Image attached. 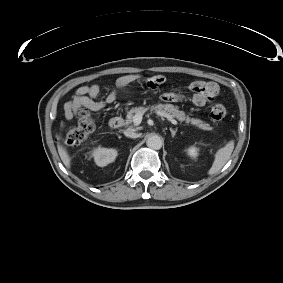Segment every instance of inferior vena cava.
<instances>
[{
  "instance_id": "obj_1",
  "label": "inferior vena cava",
  "mask_w": 283,
  "mask_h": 283,
  "mask_svg": "<svg viewBox=\"0 0 283 283\" xmlns=\"http://www.w3.org/2000/svg\"><path fill=\"white\" fill-rule=\"evenodd\" d=\"M124 134H125V136L130 137V138H138V137H140V134H138V133H136V132H134L132 130H129V129L125 130Z\"/></svg>"
}]
</instances>
